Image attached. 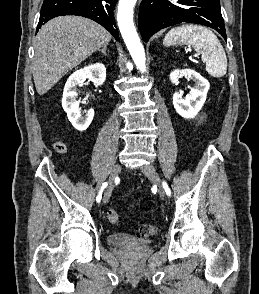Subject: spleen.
Here are the masks:
<instances>
[{"mask_svg": "<svg viewBox=\"0 0 259 294\" xmlns=\"http://www.w3.org/2000/svg\"><path fill=\"white\" fill-rule=\"evenodd\" d=\"M166 47L172 45H192L201 54L206 71L213 77H223L227 72V57L216 35L209 29L198 25H181L171 29L164 37Z\"/></svg>", "mask_w": 259, "mask_h": 294, "instance_id": "3e777b00", "label": "spleen"}]
</instances>
